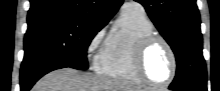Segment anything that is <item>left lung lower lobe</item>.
I'll return each mask as SVG.
<instances>
[{
  "mask_svg": "<svg viewBox=\"0 0 220 91\" xmlns=\"http://www.w3.org/2000/svg\"><path fill=\"white\" fill-rule=\"evenodd\" d=\"M169 89H171V88H169ZM171 90H174V89H171ZM180 91H193V90H187L186 88H183L182 90H180ZM206 91V90H205Z\"/></svg>",
  "mask_w": 220,
  "mask_h": 91,
  "instance_id": "obj_1",
  "label": "left lung lower lobe"
}]
</instances>
